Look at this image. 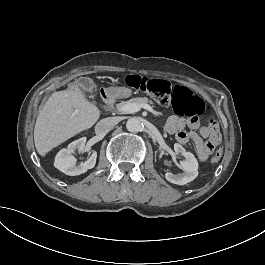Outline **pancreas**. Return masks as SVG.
Returning a JSON list of instances; mask_svg holds the SVG:
<instances>
[{"label":"pancreas","instance_id":"obj_1","mask_svg":"<svg viewBox=\"0 0 265 265\" xmlns=\"http://www.w3.org/2000/svg\"><path fill=\"white\" fill-rule=\"evenodd\" d=\"M127 102H124V103H120L118 104L117 106H120L122 104H126ZM129 103H134V104H138L140 106L144 105V104H150L152 105L153 107H156L154 102L152 100H149L148 98L146 97H143V98H132Z\"/></svg>","mask_w":265,"mask_h":265}]
</instances>
